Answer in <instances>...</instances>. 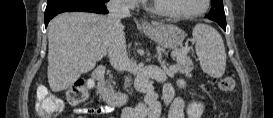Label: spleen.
<instances>
[{
    "mask_svg": "<svg viewBox=\"0 0 273 118\" xmlns=\"http://www.w3.org/2000/svg\"><path fill=\"white\" fill-rule=\"evenodd\" d=\"M192 35L203 72L213 78L222 77L226 68V52L220 34L213 27L200 23L193 29Z\"/></svg>",
    "mask_w": 273,
    "mask_h": 118,
    "instance_id": "1",
    "label": "spleen"
}]
</instances>
